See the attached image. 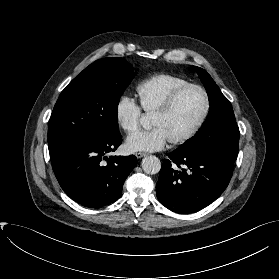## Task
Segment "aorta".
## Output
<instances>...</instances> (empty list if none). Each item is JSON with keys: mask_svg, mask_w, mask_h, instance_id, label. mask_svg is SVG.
I'll list each match as a JSON object with an SVG mask.
<instances>
[{"mask_svg": "<svg viewBox=\"0 0 279 279\" xmlns=\"http://www.w3.org/2000/svg\"><path fill=\"white\" fill-rule=\"evenodd\" d=\"M140 124L143 128L148 129L150 127L148 117L142 116ZM142 169L147 174H157L161 169V162L156 156H147L142 160Z\"/></svg>", "mask_w": 279, "mask_h": 279, "instance_id": "762f6f07", "label": "aorta"}]
</instances>
